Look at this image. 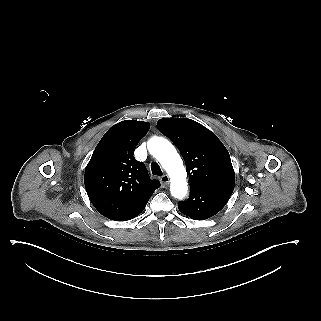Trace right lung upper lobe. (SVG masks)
I'll return each mask as SVG.
<instances>
[{"mask_svg":"<svg viewBox=\"0 0 321 321\" xmlns=\"http://www.w3.org/2000/svg\"><path fill=\"white\" fill-rule=\"evenodd\" d=\"M150 124L125 120L111 127L96 146L86 166L84 183L94 207L116 220L136 210L159 188L145 165L133 157Z\"/></svg>","mask_w":321,"mask_h":321,"instance_id":"cb5924a9","label":"right lung upper lobe"}]
</instances>
